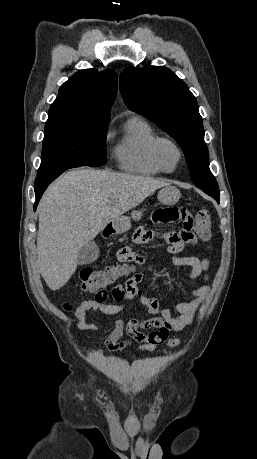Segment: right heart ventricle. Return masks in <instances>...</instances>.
<instances>
[{"label": "right heart ventricle", "instance_id": "obj_1", "mask_svg": "<svg viewBox=\"0 0 257 459\" xmlns=\"http://www.w3.org/2000/svg\"><path fill=\"white\" fill-rule=\"evenodd\" d=\"M157 137V132L145 119L140 116L131 117L114 150L119 168L144 176L162 173L151 156V146Z\"/></svg>", "mask_w": 257, "mask_h": 459}]
</instances>
